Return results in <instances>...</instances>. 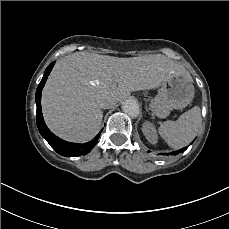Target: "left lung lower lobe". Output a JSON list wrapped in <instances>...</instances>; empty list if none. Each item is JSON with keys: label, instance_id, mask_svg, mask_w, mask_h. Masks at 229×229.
Masks as SVG:
<instances>
[{"label": "left lung lower lobe", "instance_id": "1", "mask_svg": "<svg viewBox=\"0 0 229 229\" xmlns=\"http://www.w3.org/2000/svg\"><path fill=\"white\" fill-rule=\"evenodd\" d=\"M194 142V141H193ZM192 142V143H193ZM191 143V144H192ZM187 149V147H184V148H182V149H179L178 151H174V152H172L171 154H173V155H177V154H179V153H182V152H184L185 150Z\"/></svg>", "mask_w": 229, "mask_h": 229}]
</instances>
